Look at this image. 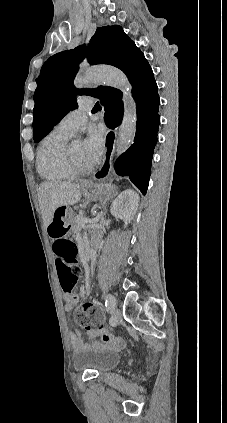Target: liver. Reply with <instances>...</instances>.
I'll return each instance as SVG.
<instances>
[{
	"instance_id": "obj_1",
	"label": "liver",
	"mask_w": 227,
	"mask_h": 423,
	"mask_svg": "<svg viewBox=\"0 0 227 423\" xmlns=\"http://www.w3.org/2000/svg\"><path fill=\"white\" fill-rule=\"evenodd\" d=\"M86 184V182H82ZM81 200L80 184L71 182H43L38 188V202L42 217L49 225L59 206H74Z\"/></svg>"
}]
</instances>
